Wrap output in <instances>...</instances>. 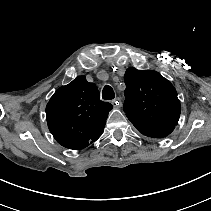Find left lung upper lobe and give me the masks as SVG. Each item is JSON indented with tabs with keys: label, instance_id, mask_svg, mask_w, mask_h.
Here are the masks:
<instances>
[{
	"label": "left lung upper lobe",
	"instance_id": "left-lung-upper-lobe-1",
	"mask_svg": "<svg viewBox=\"0 0 211 211\" xmlns=\"http://www.w3.org/2000/svg\"><path fill=\"white\" fill-rule=\"evenodd\" d=\"M123 109L143 135L158 139L168 136L178 124L180 101L174 86L153 70L128 68Z\"/></svg>",
	"mask_w": 211,
	"mask_h": 211
}]
</instances>
